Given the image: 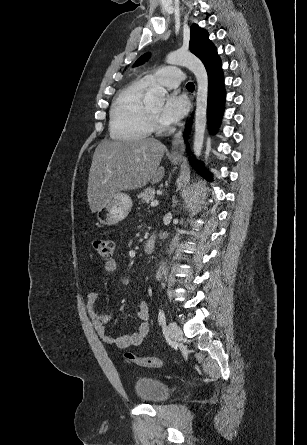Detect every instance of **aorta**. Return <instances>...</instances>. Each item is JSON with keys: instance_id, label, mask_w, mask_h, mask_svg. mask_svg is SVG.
Listing matches in <instances>:
<instances>
[{"instance_id": "762f6f07", "label": "aorta", "mask_w": 307, "mask_h": 445, "mask_svg": "<svg viewBox=\"0 0 307 445\" xmlns=\"http://www.w3.org/2000/svg\"><path fill=\"white\" fill-rule=\"evenodd\" d=\"M165 62L167 64H179L187 66L192 70L197 80V98H196V116H195V134H194V154L199 158L204 142V132L207 120V100H208V74L207 70L195 54L189 50H172L168 52ZM167 90L164 86H154L149 88L144 96V104H154V106H163Z\"/></svg>"}]
</instances>
